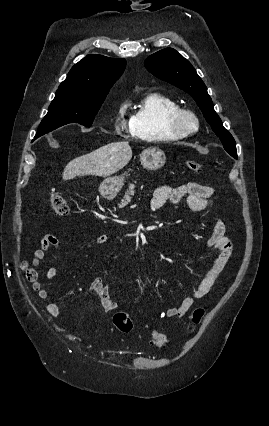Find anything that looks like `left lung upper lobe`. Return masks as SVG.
Instances as JSON below:
<instances>
[{
	"mask_svg": "<svg viewBox=\"0 0 269 426\" xmlns=\"http://www.w3.org/2000/svg\"><path fill=\"white\" fill-rule=\"evenodd\" d=\"M144 64L153 75L184 90L194 98L206 121L222 141L224 149L237 159L235 140L224 128L204 82L191 63L176 50L166 48L149 56Z\"/></svg>",
	"mask_w": 269,
	"mask_h": 426,
	"instance_id": "left-lung-upper-lobe-1",
	"label": "left lung upper lobe"
}]
</instances>
